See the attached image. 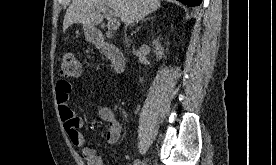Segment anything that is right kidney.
Here are the masks:
<instances>
[{
	"label": "right kidney",
	"instance_id": "right-kidney-1",
	"mask_svg": "<svg viewBox=\"0 0 276 165\" xmlns=\"http://www.w3.org/2000/svg\"><path fill=\"white\" fill-rule=\"evenodd\" d=\"M155 45V54L159 59H162V57L164 56V49L161 47L159 41H154L153 43Z\"/></svg>",
	"mask_w": 276,
	"mask_h": 165
}]
</instances>
